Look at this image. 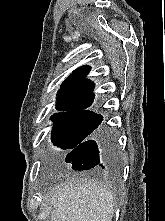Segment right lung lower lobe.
<instances>
[{
  "instance_id": "98d812e1",
  "label": "right lung lower lobe",
  "mask_w": 165,
  "mask_h": 221,
  "mask_svg": "<svg viewBox=\"0 0 165 221\" xmlns=\"http://www.w3.org/2000/svg\"><path fill=\"white\" fill-rule=\"evenodd\" d=\"M95 140H86L67 154L65 161L74 170L103 168L113 170L117 165L115 143L110 133L102 128Z\"/></svg>"
}]
</instances>
